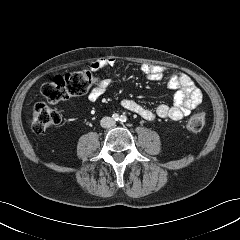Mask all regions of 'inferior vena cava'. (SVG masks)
<instances>
[{"instance_id":"1","label":"inferior vena cava","mask_w":240,"mask_h":240,"mask_svg":"<svg viewBox=\"0 0 240 240\" xmlns=\"http://www.w3.org/2000/svg\"><path fill=\"white\" fill-rule=\"evenodd\" d=\"M114 124H115V121L111 117H103L100 121V125L103 128H111L112 126H114Z\"/></svg>"}]
</instances>
